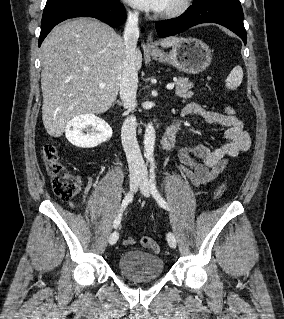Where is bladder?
<instances>
[{
    "instance_id": "31cf9c89",
    "label": "bladder",
    "mask_w": 284,
    "mask_h": 319,
    "mask_svg": "<svg viewBox=\"0 0 284 319\" xmlns=\"http://www.w3.org/2000/svg\"><path fill=\"white\" fill-rule=\"evenodd\" d=\"M118 268L130 281L150 282L162 275L164 262L156 254L141 250H129L119 257Z\"/></svg>"
}]
</instances>
